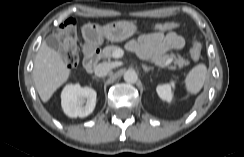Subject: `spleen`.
<instances>
[{"label": "spleen", "instance_id": "spleen-1", "mask_svg": "<svg viewBox=\"0 0 244 157\" xmlns=\"http://www.w3.org/2000/svg\"><path fill=\"white\" fill-rule=\"evenodd\" d=\"M207 76V67L204 63L194 66L185 76V88L190 95L197 94L203 87Z\"/></svg>", "mask_w": 244, "mask_h": 157}]
</instances>
